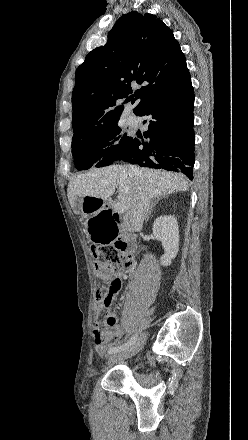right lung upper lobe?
Masks as SVG:
<instances>
[{
    "mask_svg": "<svg viewBox=\"0 0 248 440\" xmlns=\"http://www.w3.org/2000/svg\"><path fill=\"white\" fill-rule=\"evenodd\" d=\"M189 79L184 54L172 30L155 15L125 14L109 32L106 45L92 50L76 70L74 135L118 123L124 110L120 100L131 93V84L143 85L135 91V113L147 100Z\"/></svg>",
    "mask_w": 248,
    "mask_h": 440,
    "instance_id": "cb5924a9",
    "label": "right lung upper lobe"
}]
</instances>
